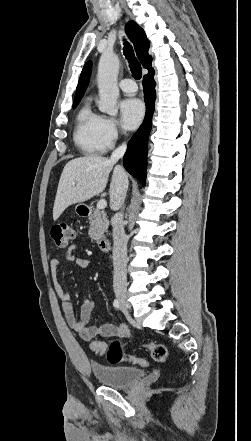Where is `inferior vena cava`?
Here are the masks:
<instances>
[{"instance_id": "inferior-vena-cava-1", "label": "inferior vena cava", "mask_w": 251, "mask_h": 441, "mask_svg": "<svg viewBox=\"0 0 251 441\" xmlns=\"http://www.w3.org/2000/svg\"><path fill=\"white\" fill-rule=\"evenodd\" d=\"M126 144H122L120 147L112 152L110 160L112 162H117L123 157L126 151ZM128 182L127 177L125 178ZM126 193L122 197V203L124 202ZM120 205V206H121ZM119 206V207H120ZM118 207V208H119ZM117 208V209H118ZM113 227V266H114V277H113V287L116 294L125 293L127 287V237L124 231L123 224V210L117 212L112 218Z\"/></svg>"}]
</instances>
